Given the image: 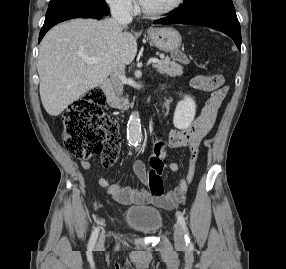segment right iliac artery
Listing matches in <instances>:
<instances>
[{"instance_id": "obj_1", "label": "right iliac artery", "mask_w": 286, "mask_h": 269, "mask_svg": "<svg viewBox=\"0 0 286 269\" xmlns=\"http://www.w3.org/2000/svg\"><path fill=\"white\" fill-rule=\"evenodd\" d=\"M98 233H99V228L97 227L92 232V235H91L90 240H89L88 248L90 250H92L94 248V246H95V243H96V240H97V237H98Z\"/></svg>"}]
</instances>
